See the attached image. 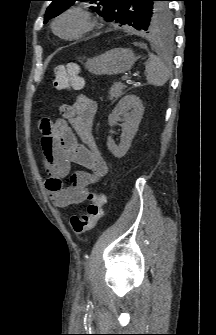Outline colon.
Returning <instances> with one entry per match:
<instances>
[{
  "label": "colon",
  "instance_id": "colon-1",
  "mask_svg": "<svg viewBox=\"0 0 216 335\" xmlns=\"http://www.w3.org/2000/svg\"><path fill=\"white\" fill-rule=\"evenodd\" d=\"M79 73L80 66L75 62L56 66L53 71L52 87L56 90L81 88L83 79ZM87 199L89 201L87 211L82 215H73L69 220L72 230L79 235L94 230L104 216V195L93 190L88 193Z\"/></svg>",
  "mask_w": 216,
  "mask_h": 335
}]
</instances>
